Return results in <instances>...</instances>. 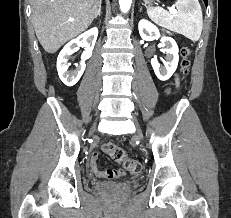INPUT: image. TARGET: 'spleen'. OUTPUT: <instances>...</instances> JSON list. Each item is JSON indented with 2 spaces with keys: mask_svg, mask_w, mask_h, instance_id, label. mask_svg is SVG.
<instances>
[{
  "mask_svg": "<svg viewBox=\"0 0 231 218\" xmlns=\"http://www.w3.org/2000/svg\"><path fill=\"white\" fill-rule=\"evenodd\" d=\"M175 6V13L161 7H151L147 9V14L158 25L192 41H198L203 27L202 10L198 0H177Z\"/></svg>",
  "mask_w": 231,
  "mask_h": 218,
  "instance_id": "3e777b00",
  "label": "spleen"
}]
</instances>
